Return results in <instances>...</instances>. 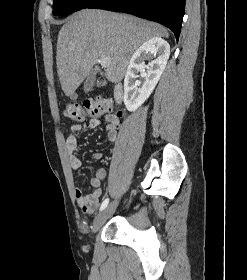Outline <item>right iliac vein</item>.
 I'll return each mask as SVG.
<instances>
[{
    "mask_svg": "<svg viewBox=\"0 0 247 280\" xmlns=\"http://www.w3.org/2000/svg\"><path fill=\"white\" fill-rule=\"evenodd\" d=\"M118 201L115 200L107 208H105L93 222V232H97L106 221L107 217L112 214L117 207Z\"/></svg>",
    "mask_w": 247,
    "mask_h": 280,
    "instance_id": "obj_1",
    "label": "right iliac vein"
}]
</instances>
